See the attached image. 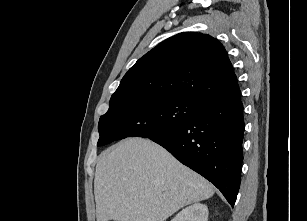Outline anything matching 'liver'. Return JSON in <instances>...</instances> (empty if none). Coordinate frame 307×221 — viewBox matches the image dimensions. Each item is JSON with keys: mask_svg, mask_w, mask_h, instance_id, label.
Returning <instances> with one entry per match:
<instances>
[{"mask_svg": "<svg viewBox=\"0 0 307 221\" xmlns=\"http://www.w3.org/2000/svg\"><path fill=\"white\" fill-rule=\"evenodd\" d=\"M214 192L205 178L148 139H125L102 152L96 165L97 221H165Z\"/></svg>", "mask_w": 307, "mask_h": 221, "instance_id": "1", "label": "liver"}]
</instances>
